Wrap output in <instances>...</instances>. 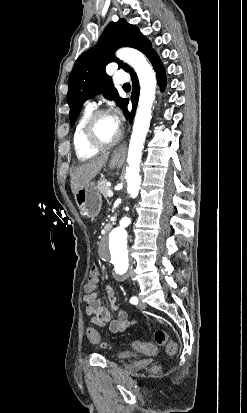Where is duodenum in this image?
Wrapping results in <instances>:
<instances>
[{
    "label": "duodenum",
    "instance_id": "obj_1",
    "mask_svg": "<svg viewBox=\"0 0 247 413\" xmlns=\"http://www.w3.org/2000/svg\"><path fill=\"white\" fill-rule=\"evenodd\" d=\"M111 227H112V223H111V222L106 223V225H105V227H104L105 232H109L110 229H111Z\"/></svg>",
    "mask_w": 247,
    "mask_h": 413
}]
</instances>
